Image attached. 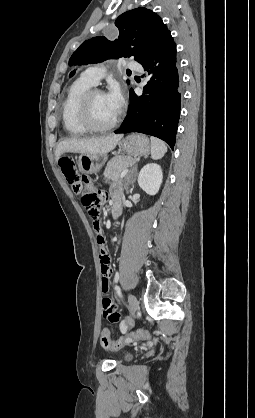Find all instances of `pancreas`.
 <instances>
[{
    "mask_svg": "<svg viewBox=\"0 0 255 418\" xmlns=\"http://www.w3.org/2000/svg\"><path fill=\"white\" fill-rule=\"evenodd\" d=\"M135 162L136 160L133 157L123 155L115 156L108 162L104 176L110 182L111 189L118 184L121 172L128 169Z\"/></svg>",
    "mask_w": 255,
    "mask_h": 418,
    "instance_id": "pancreas-1",
    "label": "pancreas"
}]
</instances>
